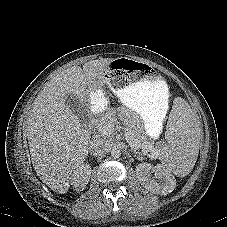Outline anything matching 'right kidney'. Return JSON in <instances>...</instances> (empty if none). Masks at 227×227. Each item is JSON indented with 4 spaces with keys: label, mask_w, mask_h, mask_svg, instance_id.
<instances>
[{
    "label": "right kidney",
    "mask_w": 227,
    "mask_h": 227,
    "mask_svg": "<svg viewBox=\"0 0 227 227\" xmlns=\"http://www.w3.org/2000/svg\"><path fill=\"white\" fill-rule=\"evenodd\" d=\"M91 166L89 164H82L74 171L71 179V185H73L76 191H82L85 189L91 176Z\"/></svg>",
    "instance_id": "1"
}]
</instances>
